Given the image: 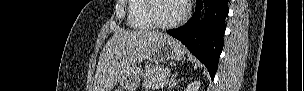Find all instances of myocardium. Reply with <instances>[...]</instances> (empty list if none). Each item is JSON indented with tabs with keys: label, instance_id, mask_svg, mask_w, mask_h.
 I'll return each instance as SVG.
<instances>
[{
	"label": "myocardium",
	"instance_id": "obj_1",
	"mask_svg": "<svg viewBox=\"0 0 304 91\" xmlns=\"http://www.w3.org/2000/svg\"><path fill=\"white\" fill-rule=\"evenodd\" d=\"M157 1H160V0H147V4H146V8H145L147 18L150 20V22L153 24V26L155 28H158V29L174 28V27L179 26L187 18L188 12H189L188 5L184 1H181L183 3L184 10L177 19H175L174 21H171V22H162V21L158 20L156 17V14H155V4Z\"/></svg>",
	"mask_w": 304,
	"mask_h": 91
}]
</instances>
